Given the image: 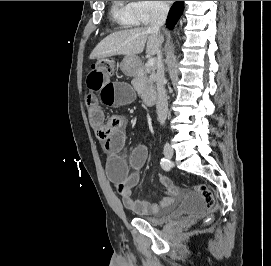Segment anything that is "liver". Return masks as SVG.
<instances>
[{
	"label": "liver",
	"mask_w": 271,
	"mask_h": 266,
	"mask_svg": "<svg viewBox=\"0 0 271 266\" xmlns=\"http://www.w3.org/2000/svg\"><path fill=\"white\" fill-rule=\"evenodd\" d=\"M163 38L147 28L139 27L115 32L104 38L90 54V59L115 55L135 56L143 52L146 45L148 55L158 54Z\"/></svg>",
	"instance_id": "obj_1"
}]
</instances>
